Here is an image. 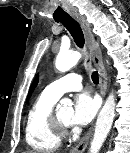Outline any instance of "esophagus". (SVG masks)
I'll use <instances>...</instances> for the list:
<instances>
[{
    "mask_svg": "<svg viewBox=\"0 0 130 153\" xmlns=\"http://www.w3.org/2000/svg\"><path fill=\"white\" fill-rule=\"evenodd\" d=\"M73 18L77 20L80 24L87 46L89 48L92 60L98 70L99 73V82H100V93L102 98L104 99L106 91H107V73L103 64L102 54L97 41H95L93 34L91 32V26L87 19L84 16L79 14H73ZM93 131V127L89 129L86 135L82 138V140L76 145L72 150L71 153H82L88 146L89 140L91 138Z\"/></svg>",
    "mask_w": 130,
    "mask_h": 153,
    "instance_id": "esophagus-1",
    "label": "esophagus"
}]
</instances>
